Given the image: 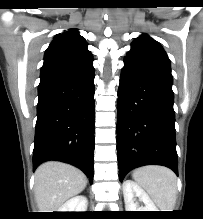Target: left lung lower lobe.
<instances>
[{
  "mask_svg": "<svg viewBox=\"0 0 203 219\" xmlns=\"http://www.w3.org/2000/svg\"><path fill=\"white\" fill-rule=\"evenodd\" d=\"M117 101L119 178L144 165L178 174L171 72L125 58Z\"/></svg>",
  "mask_w": 203,
  "mask_h": 219,
  "instance_id": "0a47b994",
  "label": "left lung lower lobe"
}]
</instances>
